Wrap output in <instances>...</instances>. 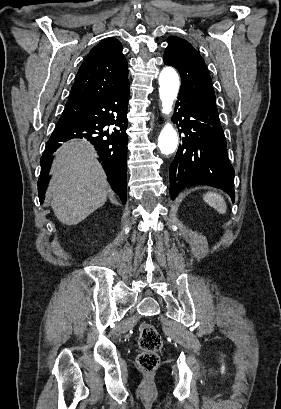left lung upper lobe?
I'll return each instance as SVG.
<instances>
[{"label":"left lung upper lobe","instance_id":"obj_1","mask_svg":"<svg viewBox=\"0 0 281 409\" xmlns=\"http://www.w3.org/2000/svg\"><path fill=\"white\" fill-rule=\"evenodd\" d=\"M164 63L180 72L182 84L179 93L188 94L207 107L217 110L206 64L189 42L179 37H170L164 53Z\"/></svg>","mask_w":281,"mask_h":409}]
</instances>
